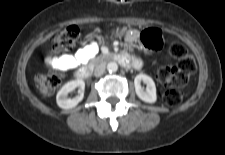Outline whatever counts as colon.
<instances>
[{"label":"colon","instance_id":"colon-1","mask_svg":"<svg viewBox=\"0 0 225 155\" xmlns=\"http://www.w3.org/2000/svg\"><path fill=\"white\" fill-rule=\"evenodd\" d=\"M79 36L80 30L77 26H68L52 37V48L56 52L71 50ZM140 41L148 49H158L161 45V33L157 29H146L141 33ZM169 52L177 62L174 65H162L158 70L157 77L167 87L161 94L163 103L167 106H176L182 99L181 89L196 71V62L185 45L180 42L172 43ZM36 82L41 94L50 95L60 85L61 76L58 73L41 74L37 77Z\"/></svg>","mask_w":225,"mask_h":155}]
</instances>
